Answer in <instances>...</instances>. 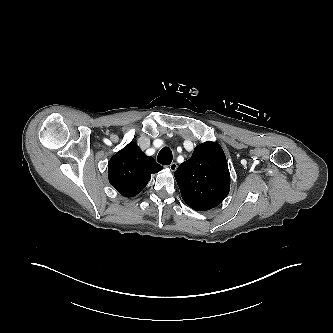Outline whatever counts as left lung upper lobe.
I'll return each instance as SVG.
<instances>
[{
  "mask_svg": "<svg viewBox=\"0 0 333 333\" xmlns=\"http://www.w3.org/2000/svg\"><path fill=\"white\" fill-rule=\"evenodd\" d=\"M183 200L196 211L218 206L230 190V174L219 144L198 145L174 173Z\"/></svg>",
  "mask_w": 333,
  "mask_h": 333,
  "instance_id": "1",
  "label": "left lung upper lobe"
}]
</instances>
